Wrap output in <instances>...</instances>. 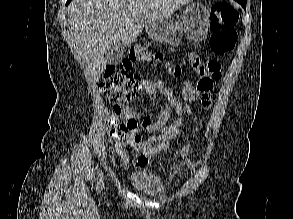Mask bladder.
Masks as SVG:
<instances>
[{"label":"bladder","instance_id":"obj_1","mask_svg":"<svg viewBox=\"0 0 293 219\" xmlns=\"http://www.w3.org/2000/svg\"><path fill=\"white\" fill-rule=\"evenodd\" d=\"M129 187L139 195L153 201H162L167 190L161 178L149 169H137L127 175Z\"/></svg>","mask_w":293,"mask_h":219}]
</instances>
